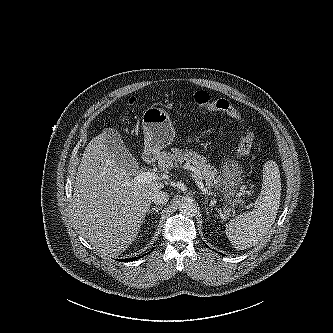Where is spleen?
Instances as JSON below:
<instances>
[{"instance_id":"obj_1","label":"spleen","mask_w":333,"mask_h":333,"mask_svg":"<svg viewBox=\"0 0 333 333\" xmlns=\"http://www.w3.org/2000/svg\"><path fill=\"white\" fill-rule=\"evenodd\" d=\"M281 199V179L277 163L268 160L263 166V185L250 212L229 222L226 235L237 250L256 245L266 236L275 222Z\"/></svg>"}]
</instances>
